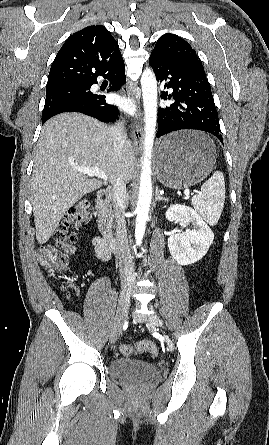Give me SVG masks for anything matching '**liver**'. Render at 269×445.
Here are the masks:
<instances>
[{
    "label": "liver",
    "instance_id": "6515ba94",
    "mask_svg": "<svg viewBox=\"0 0 269 445\" xmlns=\"http://www.w3.org/2000/svg\"><path fill=\"white\" fill-rule=\"evenodd\" d=\"M134 166L132 143L126 141L118 157L110 128L104 123L79 113L48 120L37 144L31 183L38 243L51 238L69 208L102 186L101 180L87 179L77 167H96L110 182L120 175L128 183Z\"/></svg>",
    "mask_w": 269,
    "mask_h": 445
}]
</instances>
